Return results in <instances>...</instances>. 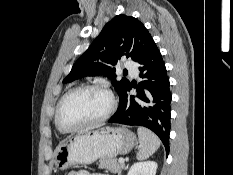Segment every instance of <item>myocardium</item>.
<instances>
[{
	"instance_id": "f54148a6",
	"label": "myocardium",
	"mask_w": 233,
	"mask_h": 175,
	"mask_svg": "<svg viewBox=\"0 0 233 175\" xmlns=\"http://www.w3.org/2000/svg\"><path fill=\"white\" fill-rule=\"evenodd\" d=\"M88 89H96V90H100V91L104 92L109 98L108 109L105 111V113L103 115H101L100 117H98L94 120L85 122V123L80 124V125L75 126V127H65L60 121V111H61V107H62L63 103L65 102V100L68 97H70L74 93L81 91V90H88ZM116 105H117V103H116V99H115L113 93L105 85L99 84V83L83 84V85L77 86V87L69 90L66 94H64L62 96V98L58 102V105H57L56 111H55V125L61 132L70 133V132L79 131V130H82L84 128L102 123L105 120H107L114 113V111L116 109Z\"/></svg>"
}]
</instances>
